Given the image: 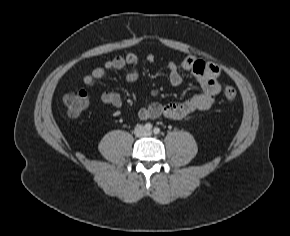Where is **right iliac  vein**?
I'll list each match as a JSON object with an SVG mask.
<instances>
[{"mask_svg":"<svg viewBox=\"0 0 290 236\" xmlns=\"http://www.w3.org/2000/svg\"><path fill=\"white\" fill-rule=\"evenodd\" d=\"M137 131H138V132H141V131H142V128H139Z\"/></svg>","mask_w":290,"mask_h":236,"instance_id":"right-iliac-vein-1","label":"right iliac vein"}]
</instances>
